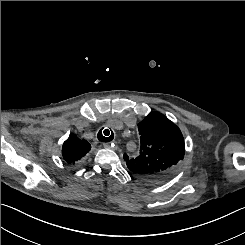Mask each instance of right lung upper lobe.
Instances as JSON below:
<instances>
[{"mask_svg":"<svg viewBox=\"0 0 245 245\" xmlns=\"http://www.w3.org/2000/svg\"><path fill=\"white\" fill-rule=\"evenodd\" d=\"M91 145L85 139L71 135L62 147V156L68 164H77L90 151Z\"/></svg>","mask_w":245,"mask_h":245,"instance_id":"cb5924a9","label":"right lung upper lobe"}]
</instances>
